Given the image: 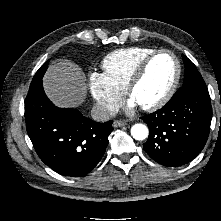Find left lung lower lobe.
Instances as JSON below:
<instances>
[{
	"instance_id": "1",
	"label": "left lung lower lobe",
	"mask_w": 221,
	"mask_h": 221,
	"mask_svg": "<svg viewBox=\"0 0 221 221\" xmlns=\"http://www.w3.org/2000/svg\"><path fill=\"white\" fill-rule=\"evenodd\" d=\"M211 118L212 108L206 87L175 94L162 109L141 118L150 129L144 149L162 165H184L203 149Z\"/></svg>"
}]
</instances>
